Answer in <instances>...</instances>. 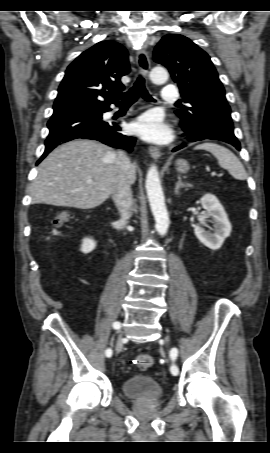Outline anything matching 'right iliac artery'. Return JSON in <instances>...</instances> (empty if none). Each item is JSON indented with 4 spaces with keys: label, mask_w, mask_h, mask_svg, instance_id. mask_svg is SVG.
<instances>
[{
    "label": "right iliac artery",
    "mask_w": 270,
    "mask_h": 453,
    "mask_svg": "<svg viewBox=\"0 0 270 453\" xmlns=\"http://www.w3.org/2000/svg\"><path fill=\"white\" fill-rule=\"evenodd\" d=\"M121 326H120V322H114L113 323V328L114 329H119ZM106 356L107 357H111L112 356V350L111 348H108L105 352Z\"/></svg>",
    "instance_id": "right-iliac-artery-1"
}]
</instances>
